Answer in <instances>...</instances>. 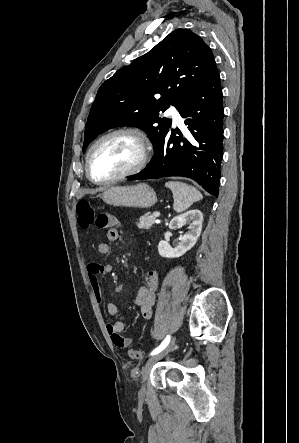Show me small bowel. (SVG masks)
<instances>
[{
	"label": "small bowel",
	"mask_w": 299,
	"mask_h": 443,
	"mask_svg": "<svg viewBox=\"0 0 299 443\" xmlns=\"http://www.w3.org/2000/svg\"><path fill=\"white\" fill-rule=\"evenodd\" d=\"M97 226L106 229V240L98 244V252L102 255H107L110 252V246L119 238L118 219L111 214H101L97 218ZM88 277L93 289V292L99 303L103 301L102 291L99 284V277L101 275L110 274L112 265L109 263L99 264L92 262L87 268ZM159 284V274L155 270H151L145 277L144 284L139 288L135 303L140 309L141 316L145 319H150L153 316V308L156 301V290ZM106 310L110 317L117 318L119 315L118 307L115 303L108 302ZM125 329V324L121 320H116L113 323L106 325V330L110 336L112 344L118 350H125L132 344V339L123 337L121 333Z\"/></svg>",
	"instance_id": "1"
}]
</instances>
